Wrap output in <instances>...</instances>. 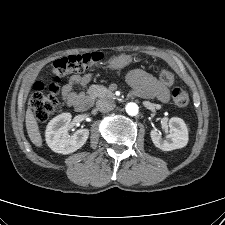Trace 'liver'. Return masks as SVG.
Here are the masks:
<instances>
[{"mask_svg": "<svg viewBox=\"0 0 225 225\" xmlns=\"http://www.w3.org/2000/svg\"><path fill=\"white\" fill-rule=\"evenodd\" d=\"M25 117H26V120H25L26 129H27V133H28V136H29L31 142L35 146L41 147L42 146V138H41V134L39 132V127H38L37 121L34 117V114L29 107L26 111Z\"/></svg>", "mask_w": 225, "mask_h": 225, "instance_id": "obj_1", "label": "liver"}]
</instances>
